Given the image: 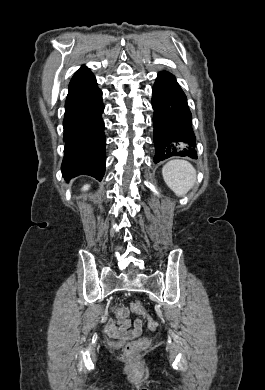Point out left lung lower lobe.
<instances>
[{
  "label": "left lung lower lobe",
  "instance_id": "left-lung-lower-lobe-1",
  "mask_svg": "<svg viewBox=\"0 0 265 390\" xmlns=\"http://www.w3.org/2000/svg\"><path fill=\"white\" fill-rule=\"evenodd\" d=\"M154 162L173 156L197 159L187 98L169 72H160L153 87Z\"/></svg>",
  "mask_w": 265,
  "mask_h": 390
}]
</instances>
